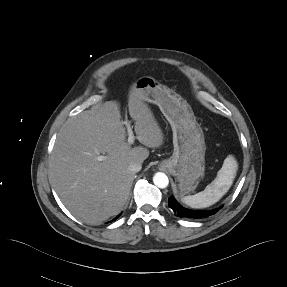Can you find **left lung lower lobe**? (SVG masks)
<instances>
[{
    "label": "left lung lower lobe",
    "mask_w": 287,
    "mask_h": 287,
    "mask_svg": "<svg viewBox=\"0 0 287 287\" xmlns=\"http://www.w3.org/2000/svg\"><path fill=\"white\" fill-rule=\"evenodd\" d=\"M168 203L173 212L181 218L201 219L213 215L219 211V208L207 211L189 210L178 204L172 196L168 199Z\"/></svg>",
    "instance_id": "1"
}]
</instances>
